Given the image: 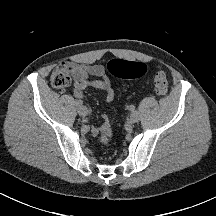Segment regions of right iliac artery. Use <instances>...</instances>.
<instances>
[{"label":"right iliac artery","instance_id":"1","mask_svg":"<svg viewBox=\"0 0 216 216\" xmlns=\"http://www.w3.org/2000/svg\"><path fill=\"white\" fill-rule=\"evenodd\" d=\"M76 105L80 107V106L83 105V102H82L81 100H77V101H76Z\"/></svg>","mask_w":216,"mask_h":216}]
</instances>
